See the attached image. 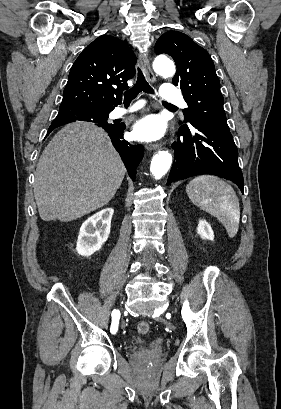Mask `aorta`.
Returning a JSON list of instances; mask_svg holds the SVG:
<instances>
[{"label":"aorta","mask_w":281,"mask_h":409,"mask_svg":"<svg viewBox=\"0 0 281 409\" xmlns=\"http://www.w3.org/2000/svg\"><path fill=\"white\" fill-rule=\"evenodd\" d=\"M154 71L164 78L173 77L175 66L167 57H157L153 62ZM172 163V155L168 151H160L153 156L150 172L155 179L162 178L169 170Z\"/></svg>","instance_id":"762f6f07"}]
</instances>
